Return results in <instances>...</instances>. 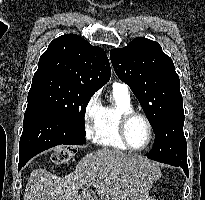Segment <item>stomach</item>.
<instances>
[{"label":"stomach","mask_w":205,"mask_h":200,"mask_svg":"<svg viewBox=\"0 0 205 200\" xmlns=\"http://www.w3.org/2000/svg\"><path fill=\"white\" fill-rule=\"evenodd\" d=\"M144 200H154L152 197L146 196Z\"/></svg>","instance_id":"stomach-1"}]
</instances>
